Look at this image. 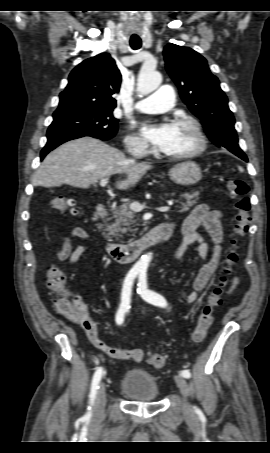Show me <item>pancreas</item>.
I'll return each instance as SVG.
<instances>
[{"instance_id": "cf45deb5", "label": "pancreas", "mask_w": 270, "mask_h": 453, "mask_svg": "<svg viewBox=\"0 0 270 453\" xmlns=\"http://www.w3.org/2000/svg\"><path fill=\"white\" fill-rule=\"evenodd\" d=\"M181 199H185V202H181L180 209L182 212L188 211L190 207L195 205L197 203V200L199 199L198 193L193 192V193H184L181 196ZM130 204L125 203L117 208L114 209L113 211V216L112 218L114 221L112 222L111 225H108L105 229L106 233H104L105 237L108 239V241H113V237L121 236V234H125L128 232H135L136 229H132L134 226V223L136 222L135 220V214L132 212L130 209ZM134 235V234H133Z\"/></svg>"}]
</instances>
